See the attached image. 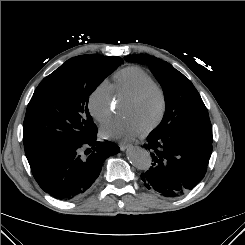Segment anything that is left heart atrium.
<instances>
[{
	"mask_svg": "<svg viewBox=\"0 0 245 245\" xmlns=\"http://www.w3.org/2000/svg\"><path fill=\"white\" fill-rule=\"evenodd\" d=\"M101 134L107 138L124 137L126 139H133L139 136L141 132L127 119H123L104 124L101 128Z\"/></svg>",
	"mask_w": 245,
	"mask_h": 245,
	"instance_id": "1",
	"label": "left heart atrium"
}]
</instances>
